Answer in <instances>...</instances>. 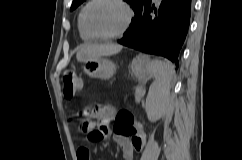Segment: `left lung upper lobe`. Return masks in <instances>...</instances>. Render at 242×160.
I'll return each mask as SVG.
<instances>
[{"label": "left lung upper lobe", "instance_id": "obj_1", "mask_svg": "<svg viewBox=\"0 0 242 160\" xmlns=\"http://www.w3.org/2000/svg\"><path fill=\"white\" fill-rule=\"evenodd\" d=\"M85 0H73L71 10H74L76 7H78L82 2ZM127 3L131 5L133 8L135 15H137L143 8L145 2L147 0H125Z\"/></svg>", "mask_w": 242, "mask_h": 160}]
</instances>
